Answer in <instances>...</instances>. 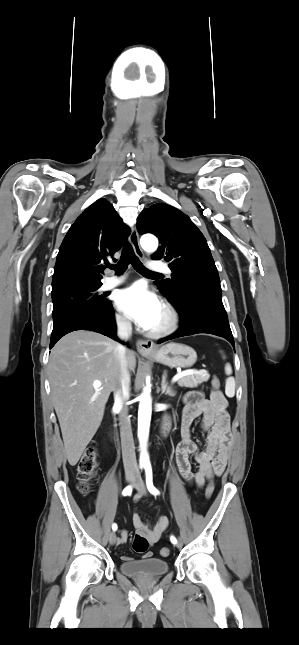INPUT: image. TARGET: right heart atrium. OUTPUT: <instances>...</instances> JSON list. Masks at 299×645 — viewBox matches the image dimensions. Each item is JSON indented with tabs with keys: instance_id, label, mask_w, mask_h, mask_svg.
Segmentation results:
<instances>
[{
	"instance_id": "1",
	"label": "right heart atrium",
	"mask_w": 299,
	"mask_h": 645,
	"mask_svg": "<svg viewBox=\"0 0 299 645\" xmlns=\"http://www.w3.org/2000/svg\"><path fill=\"white\" fill-rule=\"evenodd\" d=\"M115 323L121 329H127L130 327L129 319L122 313L115 314Z\"/></svg>"
}]
</instances>
